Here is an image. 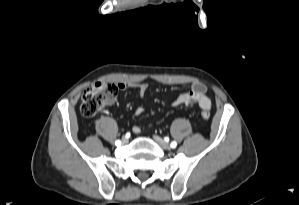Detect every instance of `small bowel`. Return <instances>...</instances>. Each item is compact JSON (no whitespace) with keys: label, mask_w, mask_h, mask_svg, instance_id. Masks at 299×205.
Segmentation results:
<instances>
[{"label":"small bowel","mask_w":299,"mask_h":205,"mask_svg":"<svg viewBox=\"0 0 299 205\" xmlns=\"http://www.w3.org/2000/svg\"><path fill=\"white\" fill-rule=\"evenodd\" d=\"M119 89H137L142 99L145 98L148 91V84L146 83H132L121 82L117 84ZM197 104L203 110H209L211 108V101L206 94V88L202 83L194 82L188 91L182 92L172 100L173 106H191ZM144 112V107L138 105L135 108V115L140 116ZM133 133L138 134L141 132V128L138 125L133 126Z\"/></svg>","instance_id":"c3829d8e"}]
</instances>
